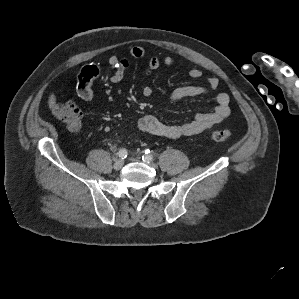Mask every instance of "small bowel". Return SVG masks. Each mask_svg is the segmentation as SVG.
Returning <instances> with one entry per match:
<instances>
[{
    "instance_id": "small-bowel-1",
    "label": "small bowel",
    "mask_w": 299,
    "mask_h": 299,
    "mask_svg": "<svg viewBox=\"0 0 299 299\" xmlns=\"http://www.w3.org/2000/svg\"><path fill=\"white\" fill-rule=\"evenodd\" d=\"M145 55V48L135 46L129 50L128 56H111L109 58V64L113 69V73L110 76V81L112 83H119L124 79L126 70L129 66V57L142 58ZM172 64L173 59L170 56H164L161 58L155 56L151 57L148 61L144 74L145 76H149L161 65L171 66ZM98 75L99 68L96 65H88L81 70L76 88V93L79 99L85 102H89L93 99L94 93L92 90V83ZM188 75L194 79L200 78L202 76V71L193 66L189 69ZM218 85L219 80L212 77L208 80L207 86H181L172 92L171 100L176 102L182 99L207 94L210 91L216 90ZM141 92L143 96L150 97L153 90L149 85H143ZM229 102L230 99L228 94L220 92L215 96V107L212 111L199 113L189 122L183 124H166L157 116L147 114L138 120V128L142 132L171 139H176L182 136L197 135L222 122L230 115Z\"/></svg>"
}]
</instances>
